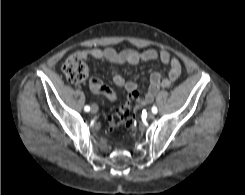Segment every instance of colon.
Wrapping results in <instances>:
<instances>
[{
	"instance_id": "obj_1",
	"label": "colon",
	"mask_w": 245,
	"mask_h": 195,
	"mask_svg": "<svg viewBox=\"0 0 245 195\" xmlns=\"http://www.w3.org/2000/svg\"><path fill=\"white\" fill-rule=\"evenodd\" d=\"M62 71L71 83H81L88 75V67L79 54L70 55L63 63ZM141 101L138 91L132 93L127 102L108 118L107 127L110 130H116L122 126L133 129L136 125L134 115Z\"/></svg>"
}]
</instances>
